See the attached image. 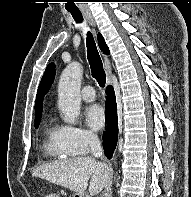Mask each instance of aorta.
Wrapping results in <instances>:
<instances>
[{
	"label": "aorta",
	"instance_id": "762f6f07",
	"mask_svg": "<svg viewBox=\"0 0 191 197\" xmlns=\"http://www.w3.org/2000/svg\"><path fill=\"white\" fill-rule=\"evenodd\" d=\"M83 70L81 64L72 62L66 66L58 84V107L63 121L75 124L80 114V86Z\"/></svg>",
	"mask_w": 191,
	"mask_h": 197
}]
</instances>
